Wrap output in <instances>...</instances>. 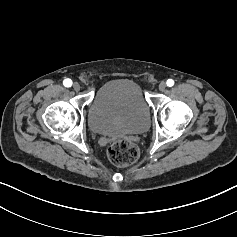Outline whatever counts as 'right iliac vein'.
I'll return each instance as SVG.
<instances>
[{
	"mask_svg": "<svg viewBox=\"0 0 237 237\" xmlns=\"http://www.w3.org/2000/svg\"><path fill=\"white\" fill-rule=\"evenodd\" d=\"M73 89H74V91H79L80 90V85H79V83H77V82H75L74 84H73Z\"/></svg>",
	"mask_w": 237,
	"mask_h": 237,
	"instance_id": "obj_1",
	"label": "right iliac vein"
}]
</instances>
